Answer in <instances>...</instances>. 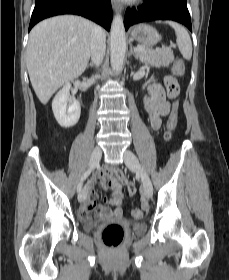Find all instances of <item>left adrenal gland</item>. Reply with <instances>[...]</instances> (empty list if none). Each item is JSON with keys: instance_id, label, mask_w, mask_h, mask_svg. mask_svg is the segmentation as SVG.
<instances>
[{"instance_id": "obj_1", "label": "left adrenal gland", "mask_w": 229, "mask_h": 280, "mask_svg": "<svg viewBox=\"0 0 229 280\" xmlns=\"http://www.w3.org/2000/svg\"><path fill=\"white\" fill-rule=\"evenodd\" d=\"M131 55H134V56L136 57L135 52L133 51V47H132V45L130 44L129 57H130ZM136 58H137V57H136Z\"/></svg>"}]
</instances>
